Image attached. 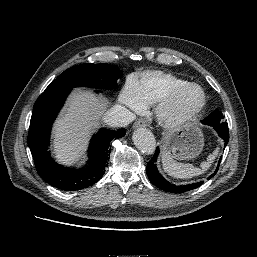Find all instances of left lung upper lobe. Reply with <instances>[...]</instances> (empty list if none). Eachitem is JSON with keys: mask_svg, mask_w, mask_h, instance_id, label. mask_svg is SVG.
Instances as JSON below:
<instances>
[{"mask_svg": "<svg viewBox=\"0 0 257 257\" xmlns=\"http://www.w3.org/2000/svg\"><path fill=\"white\" fill-rule=\"evenodd\" d=\"M223 115L222 113L216 109L213 111L209 116H207L204 120H202L203 124L209 125V126H216L223 123Z\"/></svg>", "mask_w": 257, "mask_h": 257, "instance_id": "5c2ea615", "label": "left lung upper lobe"}]
</instances>
